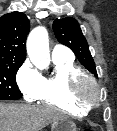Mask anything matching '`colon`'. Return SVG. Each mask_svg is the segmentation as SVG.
I'll return each mask as SVG.
<instances>
[{
	"mask_svg": "<svg viewBox=\"0 0 117 131\" xmlns=\"http://www.w3.org/2000/svg\"><path fill=\"white\" fill-rule=\"evenodd\" d=\"M84 131H93L91 128L85 129Z\"/></svg>",
	"mask_w": 117,
	"mask_h": 131,
	"instance_id": "colon-1",
	"label": "colon"
}]
</instances>
